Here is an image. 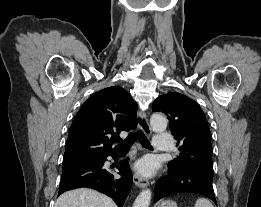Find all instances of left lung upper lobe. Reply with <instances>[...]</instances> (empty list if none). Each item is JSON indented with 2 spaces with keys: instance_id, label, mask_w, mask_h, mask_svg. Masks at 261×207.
Segmentation results:
<instances>
[{
  "instance_id": "5c2ea615",
  "label": "left lung upper lobe",
  "mask_w": 261,
  "mask_h": 207,
  "mask_svg": "<svg viewBox=\"0 0 261 207\" xmlns=\"http://www.w3.org/2000/svg\"><path fill=\"white\" fill-rule=\"evenodd\" d=\"M152 110L167 115L171 133L178 140L176 146H180V155L168 163V169L213 180L211 132L197 102L181 93H168L154 101Z\"/></svg>"
}]
</instances>
